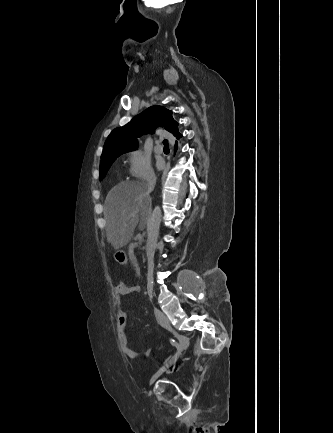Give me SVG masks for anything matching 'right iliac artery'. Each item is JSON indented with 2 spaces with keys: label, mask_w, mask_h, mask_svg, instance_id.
<instances>
[{
  "label": "right iliac artery",
  "mask_w": 333,
  "mask_h": 433,
  "mask_svg": "<svg viewBox=\"0 0 333 433\" xmlns=\"http://www.w3.org/2000/svg\"><path fill=\"white\" fill-rule=\"evenodd\" d=\"M170 343H171V345L173 346V347H177L178 346V344H177V342L173 339V338H170ZM170 362V361H169ZM166 364H168V362L166 363Z\"/></svg>",
  "instance_id": "right-iliac-artery-1"
}]
</instances>
